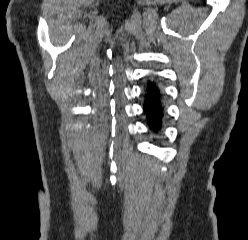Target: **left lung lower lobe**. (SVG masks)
Here are the masks:
<instances>
[{"label":"left lung lower lobe","instance_id":"left-lung-lower-lobe-1","mask_svg":"<svg viewBox=\"0 0 248 240\" xmlns=\"http://www.w3.org/2000/svg\"><path fill=\"white\" fill-rule=\"evenodd\" d=\"M162 93L154 81H148L144 92L143 110L146 115L147 125L155 133L162 128L165 116Z\"/></svg>","mask_w":248,"mask_h":240}]
</instances>
